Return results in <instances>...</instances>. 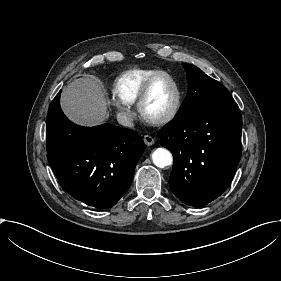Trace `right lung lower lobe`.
<instances>
[{
	"label": "right lung lower lobe",
	"instance_id": "obj_1",
	"mask_svg": "<svg viewBox=\"0 0 281 281\" xmlns=\"http://www.w3.org/2000/svg\"><path fill=\"white\" fill-rule=\"evenodd\" d=\"M60 94L47 116L48 162L73 198L98 209L110 208L131 185L145 149L143 139L132 130L109 124L82 127L72 123L60 108Z\"/></svg>",
	"mask_w": 281,
	"mask_h": 281
}]
</instances>
